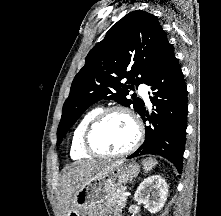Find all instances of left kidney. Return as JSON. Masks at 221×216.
<instances>
[{
    "instance_id": "obj_1",
    "label": "left kidney",
    "mask_w": 221,
    "mask_h": 216,
    "mask_svg": "<svg viewBox=\"0 0 221 216\" xmlns=\"http://www.w3.org/2000/svg\"><path fill=\"white\" fill-rule=\"evenodd\" d=\"M150 193L151 197L150 198ZM168 195V185L160 175H152L144 179L135 192L134 199L136 202L144 204L152 214L159 212Z\"/></svg>"
}]
</instances>
